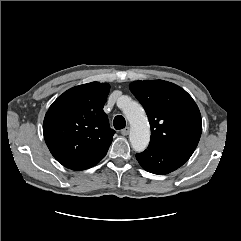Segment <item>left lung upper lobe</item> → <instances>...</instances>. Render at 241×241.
<instances>
[{"label": "left lung upper lobe", "mask_w": 241, "mask_h": 241, "mask_svg": "<svg viewBox=\"0 0 241 241\" xmlns=\"http://www.w3.org/2000/svg\"><path fill=\"white\" fill-rule=\"evenodd\" d=\"M130 90L144 107L150 144L195 150L202 131L201 114L181 87L163 80L135 81Z\"/></svg>", "instance_id": "1"}]
</instances>
